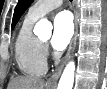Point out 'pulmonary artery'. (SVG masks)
<instances>
[{"instance_id":"obj_1","label":"pulmonary artery","mask_w":107,"mask_h":89,"mask_svg":"<svg viewBox=\"0 0 107 89\" xmlns=\"http://www.w3.org/2000/svg\"><path fill=\"white\" fill-rule=\"evenodd\" d=\"M61 5L62 0H40L30 7L28 14L40 18Z\"/></svg>"}]
</instances>
